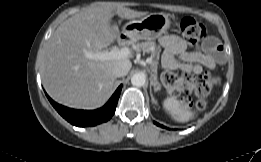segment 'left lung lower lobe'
<instances>
[{
  "mask_svg": "<svg viewBox=\"0 0 261 162\" xmlns=\"http://www.w3.org/2000/svg\"><path fill=\"white\" fill-rule=\"evenodd\" d=\"M157 126H160V127H162V128H165V126H163V125H161V124H159V123H157V122H154Z\"/></svg>",
  "mask_w": 261,
  "mask_h": 162,
  "instance_id": "1",
  "label": "left lung lower lobe"
}]
</instances>
